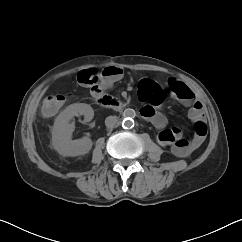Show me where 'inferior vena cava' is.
Wrapping results in <instances>:
<instances>
[{"label":"inferior vena cava","instance_id":"602c4592","mask_svg":"<svg viewBox=\"0 0 242 242\" xmlns=\"http://www.w3.org/2000/svg\"><path fill=\"white\" fill-rule=\"evenodd\" d=\"M118 122V118L116 116H108L106 119H105V125L108 127V128H112L116 125V123Z\"/></svg>","mask_w":242,"mask_h":242}]
</instances>
